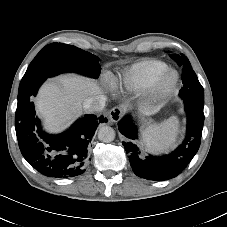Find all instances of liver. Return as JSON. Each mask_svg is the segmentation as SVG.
<instances>
[{
	"label": "liver",
	"instance_id": "obj_1",
	"mask_svg": "<svg viewBox=\"0 0 227 227\" xmlns=\"http://www.w3.org/2000/svg\"><path fill=\"white\" fill-rule=\"evenodd\" d=\"M102 94L101 87L91 78L68 74L57 83H45L35 100V107L48 130L57 132L67 127L81 112V103L88 97ZM155 110L144 108L150 115Z\"/></svg>",
	"mask_w": 227,
	"mask_h": 227
}]
</instances>
